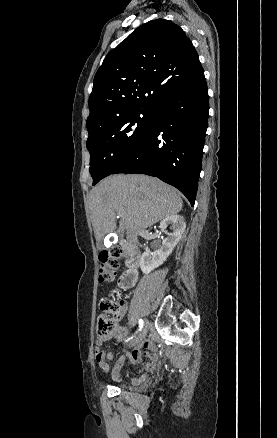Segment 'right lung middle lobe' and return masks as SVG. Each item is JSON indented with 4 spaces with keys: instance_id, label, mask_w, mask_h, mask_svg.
Returning a JSON list of instances; mask_svg holds the SVG:
<instances>
[{
    "instance_id": "obj_1",
    "label": "right lung middle lobe",
    "mask_w": 277,
    "mask_h": 438,
    "mask_svg": "<svg viewBox=\"0 0 277 438\" xmlns=\"http://www.w3.org/2000/svg\"><path fill=\"white\" fill-rule=\"evenodd\" d=\"M153 109L113 117L87 128L93 185L113 174L126 157L143 141L153 119Z\"/></svg>"
}]
</instances>
